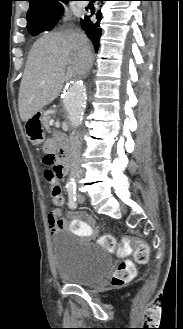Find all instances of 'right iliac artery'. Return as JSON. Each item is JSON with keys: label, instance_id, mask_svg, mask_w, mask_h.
I'll use <instances>...</instances> for the list:
<instances>
[{"label": "right iliac artery", "instance_id": "right-iliac-artery-1", "mask_svg": "<svg viewBox=\"0 0 183 329\" xmlns=\"http://www.w3.org/2000/svg\"><path fill=\"white\" fill-rule=\"evenodd\" d=\"M68 197H69L68 206L71 209H75L77 207L76 189H68Z\"/></svg>", "mask_w": 183, "mask_h": 329}]
</instances>
